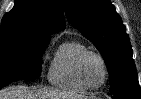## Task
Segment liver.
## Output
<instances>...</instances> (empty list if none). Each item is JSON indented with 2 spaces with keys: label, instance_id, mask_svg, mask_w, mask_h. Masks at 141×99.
<instances>
[{
  "label": "liver",
  "instance_id": "1",
  "mask_svg": "<svg viewBox=\"0 0 141 99\" xmlns=\"http://www.w3.org/2000/svg\"><path fill=\"white\" fill-rule=\"evenodd\" d=\"M81 95H73L56 89H28L16 86L0 91V99H82Z\"/></svg>",
  "mask_w": 141,
  "mask_h": 99
}]
</instances>
